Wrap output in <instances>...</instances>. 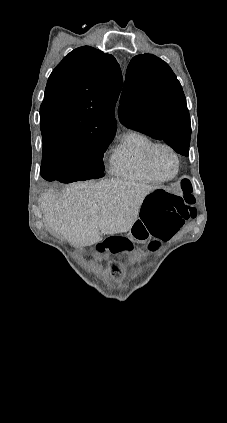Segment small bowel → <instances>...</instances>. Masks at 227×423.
<instances>
[{
    "mask_svg": "<svg viewBox=\"0 0 227 423\" xmlns=\"http://www.w3.org/2000/svg\"><path fill=\"white\" fill-rule=\"evenodd\" d=\"M133 228H138L139 229V231H140V235L139 236H137V237H134L135 239H137V240H146V239H149V238H154V240L152 241V246L153 247H155V246H158L159 245V240H158V238H156L154 235H152L149 231H148V229H147V227H146V225L144 224V222H142L140 219H138L136 222H135V224H134V226H133Z\"/></svg>",
    "mask_w": 227,
    "mask_h": 423,
    "instance_id": "small-bowel-1",
    "label": "small bowel"
}]
</instances>
